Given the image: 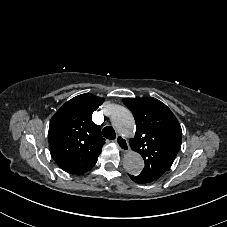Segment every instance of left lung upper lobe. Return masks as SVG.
Segmentation results:
<instances>
[{"instance_id":"5c2ea615","label":"left lung upper lobe","mask_w":227,"mask_h":227,"mask_svg":"<svg viewBox=\"0 0 227 227\" xmlns=\"http://www.w3.org/2000/svg\"><path fill=\"white\" fill-rule=\"evenodd\" d=\"M123 102L137 125L130 146L144 159L140 175L156 180L171 167L180 150L181 126L171 110L155 98H124Z\"/></svg>"}]
</instances>
